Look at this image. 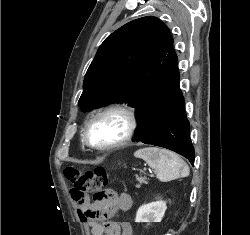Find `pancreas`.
Instances as JSON below:
<instances>
[{"label":"pancreas","instance_id":"obj_1","mask_svg":"<svg viewBox=\"0 0 250 235\" xmlns=\"http://www.w3.org/2000/svg\"><path fill=\"white\" fill-rule=\"evenodd\" d=\"M137 180L139 181L140 184H142V183L147 184L148 183L145 178L140 177V178H137ZM140 184H137L136 188H140Z\"/></svg>","mask_w":250,"mask_h":235}]
</instances>
